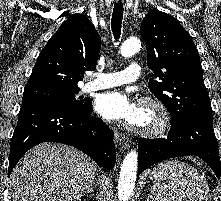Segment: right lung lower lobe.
Wrapping results in <instances>:
<instances>
[{"label":"right lung lower lobe","instance_id":"98d812e1","mask_svg":"<svg viewBox=\"0 0 221 201\" xmlns=\"http://www.w3.org/2000/svg\"><path fill=\"white\" fill-rule=\"evenodd\" d=\"M91 108L92 102L84 110L40 101L22 103L10 144L8 176L25 152L43 142L71 145L99 166L112 169L116 160L113 132L91 115Z\"/></svg>","mask_w":221,"mask_h":201}]
</instances>
